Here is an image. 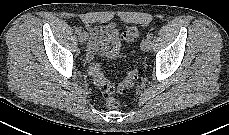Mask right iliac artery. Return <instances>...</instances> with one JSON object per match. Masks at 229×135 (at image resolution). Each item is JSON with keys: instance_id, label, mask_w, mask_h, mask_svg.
Returning <instances> with one entry per match:
<instances>
[{"instance_id": "82829eb1", "label": "right iliac artery", "mask_w": 229, "mask_h": 135, "mask_svg": "<svg viewBox=\"0 0 229 135\" xmlns=\"http://www.w3.org/2000/svg\"><path fill=\"white\" fill-rule=\"evenodd\" d=\"M77 32L80 33V32H81V28H78V29H77Z\"/></svg>"}]
</instances>
